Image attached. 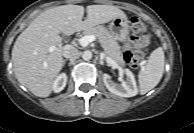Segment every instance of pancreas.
Wrapping results in <instances>:
<instances>
[{"label":"pancreas","instance_id":"cf45deb5","mask_svg":"<svg viewBox=\"0 0 194 133\" xmlns=\"http://www.w3.org/2000/svg\"><path fill=\"white\" fill-rule=\"evenodd\" d=\"M82 35H94L99 39L104 52L120 65H124L125 61L122 56L121 48L118 46L116 39L103 26H96L85 30Z\"/></svg>","mask_w":194,"mask_h":133}]
</instances>
